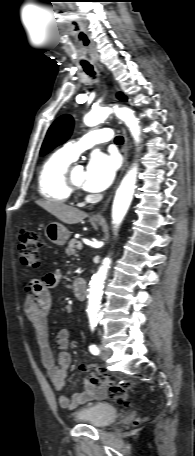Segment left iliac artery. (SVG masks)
Here are the masks:
<instances>
[{
    "label": "left iliac artery",
    "instance_id": "44dca946",
    "mask_svg": "<svg viewBox=\"0 0 195 456\" xmlns=\"http://www.w3.org/2000/svg\"><path fill=\"white\" fill-rule=\"evenodd\" d=\"M96 326V323L95 322H91V329L92 331L94 330V327ZM89 350L90 352L93 354V355H98L100 353V350L98 349V347L94 344L90 345L89 346Z\"/></svg>",
    "mask_w": 195,
    "mask_h": 456
}]
</instances>
